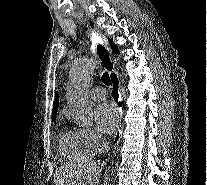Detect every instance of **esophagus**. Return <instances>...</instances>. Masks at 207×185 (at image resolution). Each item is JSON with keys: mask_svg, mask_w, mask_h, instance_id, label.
I'll return each mask as SVG.
<instances>
[{"mask_svg": "<svg viewBox=\"0 0 207 185\" xmlns=\"http://www.w3.org/2000/svg\"><path fill=\"white\" fill-rule=\"evenodd\" d=\"M96 48H107V43H96ZM98 55H103L100 57V60L103 62L102 66L105 67V72H109V77L112 84L111 96L117 108V128L112 142V150L114 151L118 147L121 139V118L124 114V111H127V106H122L121 103L120 78L115 69V63L112 62L113 57L111 56V51L108 49L98 50Z\"/></svg>", "mask_w": 207, "mask_h": 185, "instance_id": "1", "label": "esophagus"}]
</instances>
